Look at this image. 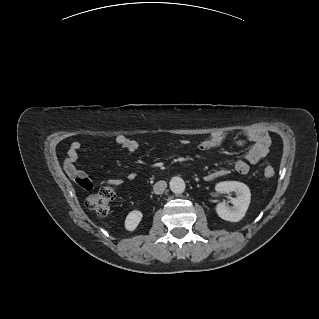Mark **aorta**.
<instances>
[{
	"mask_svg": "<svg viewBox=\"0 0 319 319\" xmlns=\"http://www.w3.org/2000/svg\"><path fill=\"white\" fill-rule=\"evenodd\" d=\"M185 182L181 177H173L170 180V189L175 194H181L185 191Z\"/></svg>",
	"mask_w": 319,
	"mask_h": 319,
	"instance_id": "obj_1",
	"label": "aorta"
}]
</instances>
